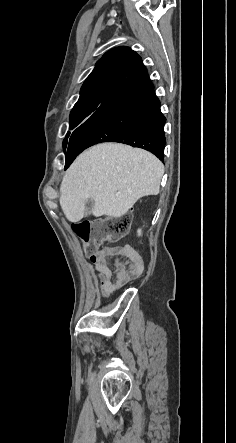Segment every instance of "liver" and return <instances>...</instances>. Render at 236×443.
Returning a JSON list of instances; mask_svg holds the SVG:
<instances>
[{
	"label": "liver",
	"mask_w": 236,
	"mask_h": 443,
	"mask_svg": "<svg viewBox=\"0 0 236 443\" xmlns=\"http://www.w3.org/2000/svg\"><path fill=\"white\" fill-rule=\"evenodd\" d=\"M164 174L150 152L118 143H102L80 154L60 186V205L70 222L84 217L85 202L94 201L95 217L118 218L143 196L157 195Z\"/></svg>",
	"instance_id": "1"
}]
</instances>
